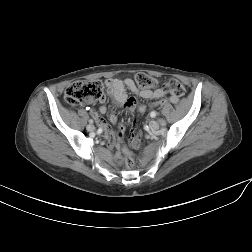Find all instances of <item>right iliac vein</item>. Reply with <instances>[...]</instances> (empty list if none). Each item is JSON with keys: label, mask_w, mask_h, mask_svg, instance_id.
<instances>
[{"label": "right iliac vein", "mask_w": 252, "mask_h": 252, "mask_svg": "<svg viewBox=\"0 0 252 252\" xmlns=\"http://www.w3.org/2000/svg\"><path fill=\"white\" fill-rule=\"evenodd\" d=\"M86 129H87L89 132H94V131H95V127H94V125H92V124L87 125Z\"/></svg>", "instance_id": "1"}]
</instances>
